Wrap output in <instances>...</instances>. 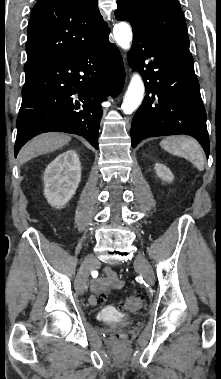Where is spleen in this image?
Returning a JSON list of instances; mask_svg holds the SVG:
<instances>
[{"label":"spleen","instance_id":"3e777b00","mask_svg":"<svg viewBox=\"0 0 221 379\" xmlns=\"http://www.w3.org/2000/svg\"><path fill=\"white\" fill-rule=\"evenodd\" d=\"M167 152L185 158L200 171L204 170V153L200 144L186 136H169L160 142Z\"/></svg>","mask_w":221,"mask_h":379}]
</instances>
